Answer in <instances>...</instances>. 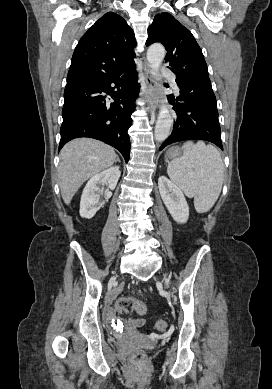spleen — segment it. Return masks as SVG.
Wrapping results in <instances>:
<instances>
[{
  "instance_id": "1",
  "label": "spleen",
  "mask_w": 272,
  "mask_h": 389,
  "mask_svg": "<svg viewBox=\"0 0 272 389\" xmlns=\"http://www.w3.org/2000/svg\"><path fill=\"white\" fill-rule=\"evenodd\" d=\"M183 149V156L168 164V176L187 197H194L196 211L205 213L213 207L222 189L221 155L214 146L201 141L196 144L188 141Z\"/></svg>"
}]
</instances>
